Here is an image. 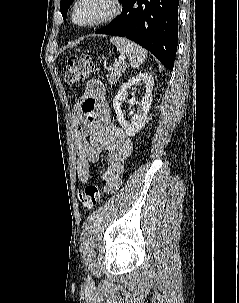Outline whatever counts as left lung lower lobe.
Listing matches in <instances>:
<instances>
[{
	"mask_svg": "<svg viewBox=\"0 0 239 303\" xmlns=\"http://www.w3.org/2000/svg\"><path fill=\"white\" fill-rule=\"evenodd\" d=\"M120 16L96 34L126 37L173 69L178 43L179 0H124Z\"/></svg>",
	"mask_w": 239,
	"mask_h": 303,
	"instance_id": "1",
	"label": "left lung lower lobe"
}]
</instances>
